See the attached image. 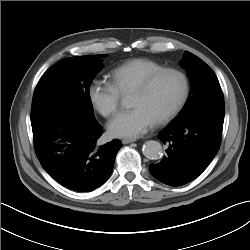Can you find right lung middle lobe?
<instances>
[{
  "label": "right lung middle lobe",
  "instance_id": "right-lung-middle-lobe-1",
  "mask_svg": "<svg viewBox=\"0 0 250 250\" xmlns=\"http://www.w3.org/2000/svg\"><path fill=\"white\" fill-rule=\"evenodd\" d=\"M102 56L67 58L42 75L32 101L33 134L96 121L89 85L103 67Z\"/></svg>",
  "mask_w": 250,
  "mask_h": 250
}]
</instances>
